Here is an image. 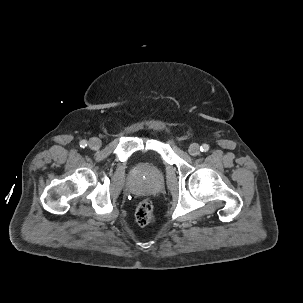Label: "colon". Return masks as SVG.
<instances>
[{
	"label": "colon",
	"mask_w": 303,
	"mask_h": 303,
	"mask_svg": "<svg viewBox=\"0 0 303 303\" xmlns=\"http://www.w3.org/2000/svg\"><path fill=\"white\" fill-rule=\"evenodd\" d=\"M136 221L141 226H147L155 221L153 203L150 199H143L135 212Z\"/></svg>",
	"instance_id": "5ec220e1"
}]
</instances>
